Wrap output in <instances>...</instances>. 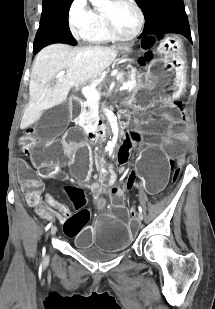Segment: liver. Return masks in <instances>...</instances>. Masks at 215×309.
Returning <instances> with one entry per match:
<instances>
[{
  "instance_id": "liver-1",
  "label": "liver",
  "mask_w": 215,
  "mask_h": 309,
  "mask_svg": "<svg viewBox=\"0 0 215 309\" xmlns=\"http://www.w3.org/2000/svg\"><path fill=\"white\" fill-rule=\"evenodd\" d=\"M118 50L113 46H80L71 48L70 44H49L35 56L32 64L28 108L21 120V128L31 124L32 114H40L44 108L61 104L68 96L72 86L95 80L103 70L115 60ZM66 70L54 88L50 80L57 72Z\"/></svg>"
}]
</instances>
